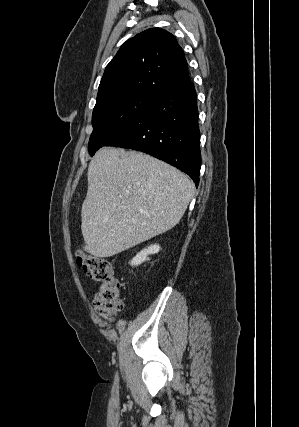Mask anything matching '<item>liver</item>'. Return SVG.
Wrapping results in <instances>:
<instances>
[{
	"instance_id": "6515ba94",
	"label": "liver",
	"mask_w": 299,
	"mask_h": 427,
	"mask_svg": "<svg viewBox=\"0 0 299 427\" xmlns=\"http://www.w3.org/2000/svg\"><path fill=\"white\" fill-rule=\"evenodd\" d=\"M85 251L111 257L173 228L194 193L180 170L142 152L102 148L88 167Z\"/></svg>"
}]
</instances>
